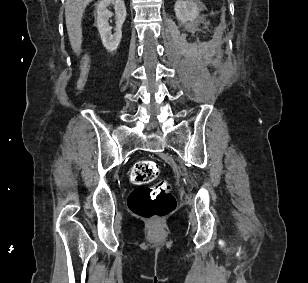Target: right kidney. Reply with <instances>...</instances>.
Here are the masks:
<instances>
[{
  "mask_svg": "<svg viewBox=\"0 0 308 283\" xmlns=\"http://www.w3.org/2000/svg\"><path fill=\"white\" fill-rule=\"evenodd\" d=\"M115 9V33L112 34V27L109 25V18L113 14L108 10L109 5ZM96 24L103 43V46L110 52H114L121 41L122 25L126 18V7L124 0H100L96 6Z\"/></svg>",
  "mask_w": 308,
  "mask_h": 283,
  "instance_id": "ca27d5eb",
  "label": "right kidney"
}]
</instances>
